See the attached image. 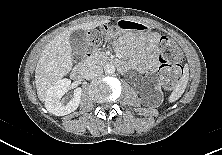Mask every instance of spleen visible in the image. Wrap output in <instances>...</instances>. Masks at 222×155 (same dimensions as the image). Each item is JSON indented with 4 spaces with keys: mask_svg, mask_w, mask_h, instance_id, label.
<instances>
[{
    "mask_svg": "<svg viewBox=\"0 0 222 155\" xmlns=\"http://www.w3.org/2000/svg\"><path fill=\"white\" fill-rule=\"evenodd\" d=\"M188 79H189L188 67H185V71H184L183 75L179 79L177 85L175 86L173 92L171 93V95L169 97L170 103L175 102L176 100H178L182 96V94L184 93V91L186 89Z\"/></svg>",
    "mask_w": 222,
    "mask_h": 155,
    "instance_id": "3e777b00",
    "label": "spleen"
}]
</instances>
